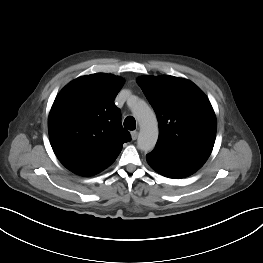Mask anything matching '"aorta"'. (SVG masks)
I'll return each instance as SVG.
<instances>
[{
	"label": "aorta",
	"instance_id": "762f6f07",
	"mask_svg": "<svg viewBox=\"0 0 263 263\" xmlns=\"http://www.w3.org/2000/svg\"><path fill=\"white\" fill-rule=\"evenodd\" d=\"M131 110L140 126L137 147L144 152H150L154 149L159 136L156 115L146 102L139 99H133Z\"/></svg>",
	"mask_w": 263,
	"mask_h": 263
}]
</instances>
